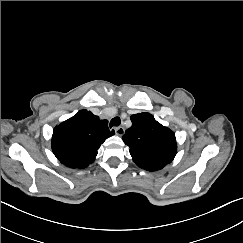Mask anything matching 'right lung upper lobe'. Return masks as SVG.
<instances>
[{
    "label": "right lung upper lobe",
    "mask_w": 243,
    "mask_h": 243,
    "mask_svg": "<svg viewBox=\"0 0 243 243\" xmlns=\"http://www.w3.org/2000/svg\"><path fill=\"white\" fill-rule=\"evenodd\" d=\"M112 135L114 130H109L107 120L81 110L54 129L52 151L65 166L85 168L95 160L101 144Z\"/></svg>",
    "instance_id": "right-lung-upper-lobe-1"
}]
</instances>
